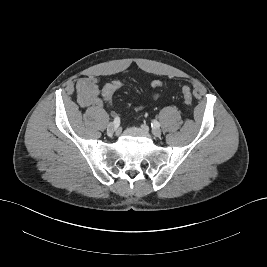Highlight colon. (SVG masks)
<instances>
[{
	"label": "colon",
	"instance_id": "colon-1",
	"mask_svg": "<svg viewBox=\"0 0 267 267\" xmlns=\"http://www.w3.org/2000/svg\"><path fill=\"white\" fill-rule=\"evenodd\" d=\"M123 85V82L121 81H111L108 84L105 85V87L102 90V97L103 99L108 102L111 103V96L113 94V92L120 88ZM185 103L187 105H191L193 97H192V93L190 91V89L186 86L182 87L181 89Z\"/></svg>",
	"mask_w": 267,
	"mask_h": 267
}]
</instances>
